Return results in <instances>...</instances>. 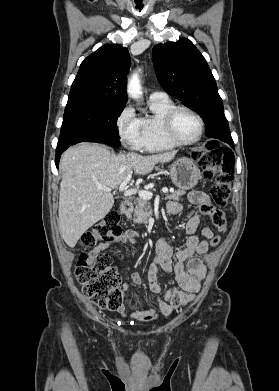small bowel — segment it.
<instances>
[{
    "label": "small bowel",
    "mask_w": 279,
    "mask_h": 391,
    "mask_svg": "<svg viewBox=\"0 0 279 391\" xmlns=\"http://www.w3.org/2000/svg\"><path fill=\"white\" fill-rule=\"evenodd\" d=\"M188 200L192 204L201 206H210L208 195L201 191H193L188 195ZM167 210L171 214H178L182 210V205L177 202H169ZM201 220V214L191 217L185 226V233L188 235L185 247L173 252L171 246L161 238L156 243L157 256L150 264L147 271L148 286L150 291L157 296L156 305L159 313L164 317H169L174 311L188 305L195 295L200 291L202 280L206 275V267L201 259L193 257L194 255H204L209 251V243L215 235L209 228H203L201 234L205 239H200L195 235ZM136 233L126 231L120 235L118 241L122 243L134 242ZM107 243H100L92 249L90 257L94 258L108 247ZM124 258L121 252L119 259ZM161 268L167 273H173L178 286L168 289L163 298L162 286L158 281L157 272ZM132 281L136 285H141L142 278L139 273L134 272L131 275ZM124 288H127L125 285ZM126 308L131 310L130 319L138 322L153 321L158 317L154 306L142 310L140 306L127 301L126 305H121L117 309L119 316L127 317Z\"/></svg>",
    "instance_id": "c3829d8e"
}]
</instances>
